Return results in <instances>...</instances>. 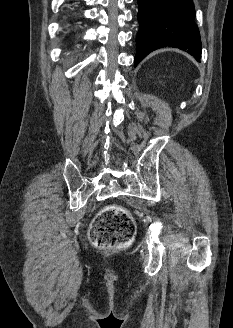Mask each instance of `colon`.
Wrapping results in <instances>:
<instances>
[{
  "mask_svg": "<svg viewBox=\"0 0 233 328\" xmlns=\"http://www.w3.org/2000/svg\"><path fill=\"white\" fill-rule=\"evenodd\" d=\"M136 226L131 214L118 205L102 209L89 232L93 245L110 249L128 245L134 238Z\"/></svg>",
  "mask_w": 233,
  "mask_h": 328,
  "instance_id": "1",
  "label": "colon"
}]
</instances>
